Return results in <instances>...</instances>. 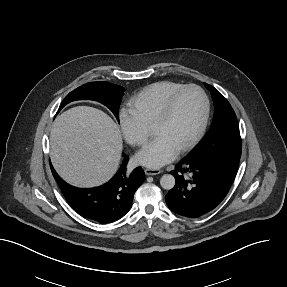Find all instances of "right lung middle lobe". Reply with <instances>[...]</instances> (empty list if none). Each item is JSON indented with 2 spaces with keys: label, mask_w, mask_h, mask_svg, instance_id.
I'll use <instances>...</instances> for the list:
<instances>
[{
  "label": "right lung middle lobe",
  "mask_w": 287,
  "mask_h": 287,
  "mask_svg": "<svg viewBox=\"0 0 287 287\" xmlns=\"http://www.w3.org/2000/svg\"><path fill=\"white\" fill-rule=\"evenodd\" d=\"M125 89L109 82H90L70 92L58 111L74 100H95L108 107L119 121V106Z\"/></svg>",
  "instance_id": "1"
}]
</instances>
